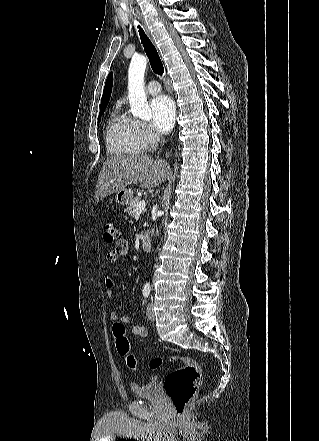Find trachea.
<instances>
[{"label":"trachea","mask_w":319,"mask_h":441,"mask_svg":"<svg viewBox=\"0 0 319 441\" xmlns=\"http://www.w3.org/2000/svg\"><path fill=\"white\" fill-rule=\"evenodd\" d=\"M139 35L141 43L144 47V50L146 52V55L149 59L150 65L154 73L158 75L164 74V66L163 63L158 55V52L154 45L152 44L151 40L147 37L144 30L140 25H138Z\"/></svg>","instance_id":"trachea-1"}]
</instances>
